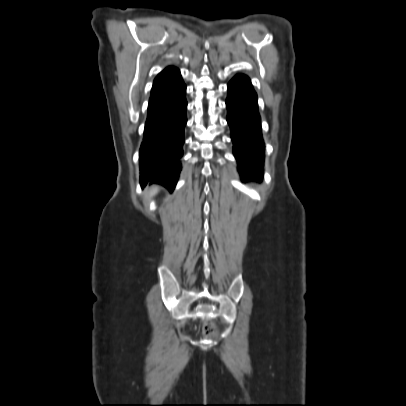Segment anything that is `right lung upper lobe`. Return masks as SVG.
Segmentation results:
<instances>
[{
  "instance_id": "right-lung-upper-lobe-1",
  "label": "right lung upper lobe",
  "mask_w": 406,
  "mask_h": 406,
  "mask_svg": "<svg viewBox=\"0 0 406 406\" xmlns=\"http://www.w3.org/2000/svg\"><path fill=\"white\" fill-rule=\"evenodd\" d=\"M170 71V68H167L166 70H164L163 72H161L156 78L155 80L163 77L165 74H167Z\"/></svg>"
}]
</instances>
